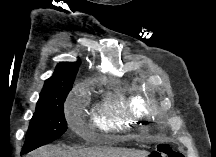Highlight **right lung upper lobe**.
<instances>
[{
  "instance_id": "cb5924a9",
  "label": "right lung upper lobe",
  "mask_w": 216,
  "mask_h": 157,
  "mask_svg": "<svg viewBox=\"0 0 216 157\" xmlns=\"http://www.w3.org/2000/svg\"><path fill=\"white\" fill-rule=\"evenodd\" d=\"M80 63L77 62H60L53 73L44 83L40 93V99L37 102L39 107L45 100L63 89L71 88L78 72Z\"/></svg>"
}]
</instances>
